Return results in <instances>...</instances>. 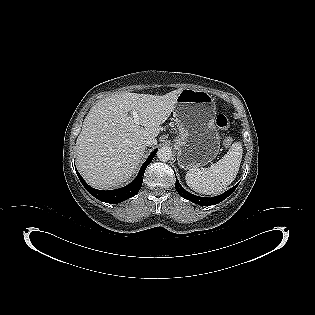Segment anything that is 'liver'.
I'll list each match as a JSON object with an SVG mask.
<instances>
[{"label":"liver","mask_w":315,"mask_h":315,"mask_svg":"<svg viewBox=\"0 0 315 315\" xmlns=\"http://www.w3.org/2000/svg\"><path fill=\"white\" fill-rule=\"evenodd\" d=\"M182 90L162 96L117 93L97 102L76 141L77 167L86 182L98 189H110L128 181L144 155L143 138L158 136L160 125L175 109ZM132 111L138 113V124Z\"/></svg>","instance_id":"liver-1"}]
</instances>
